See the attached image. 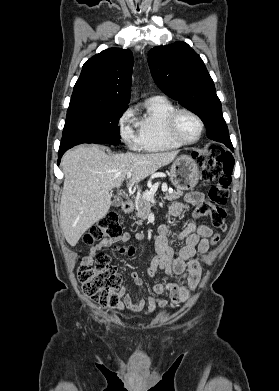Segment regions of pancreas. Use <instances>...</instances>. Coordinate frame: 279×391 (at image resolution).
<instances>
[{"instance_id": "cf45deb5", "label": "pancreas", "mask_w": 279, "mask_h": 391, "mask_svg": "<svg viewBox=\"0 0 279 391\" xmlns=\"http://www.w3.org/2000/svg\"><path fill=\"white\" fill-rule=\"evenodd\" d=\"M183 195V192L180 190L165 193V198L169 201L177 200ZM151 209V203L143 198V196L139 197L136 201V217L141 219V221L147 219L149 212ZM137 224L140 221L136 222Z\"/></svg>"}]
</instances>
